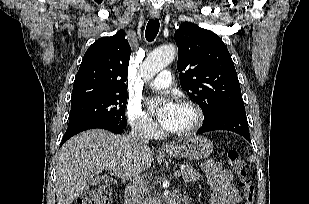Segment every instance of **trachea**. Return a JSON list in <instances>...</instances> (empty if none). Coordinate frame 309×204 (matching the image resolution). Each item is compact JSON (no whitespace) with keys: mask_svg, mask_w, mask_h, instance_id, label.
<instances>
[{"mask_svg":"<svg viewBox=\"0 0 309 204\" xmlns=\"http://www.w3.org/2000/svg\"><path fill=\"white\" fill-rule=\"evenodd\" d=\"M159 27H160V23L158 19L149 20L146 26V31H145V37L147 41L152 42L155 39V37L157 36L159 32Z\"/></svg>","mask_w":309,"mask_h":204,"instance_id":"trachea-1","label":"trachea"}]
</instances>
